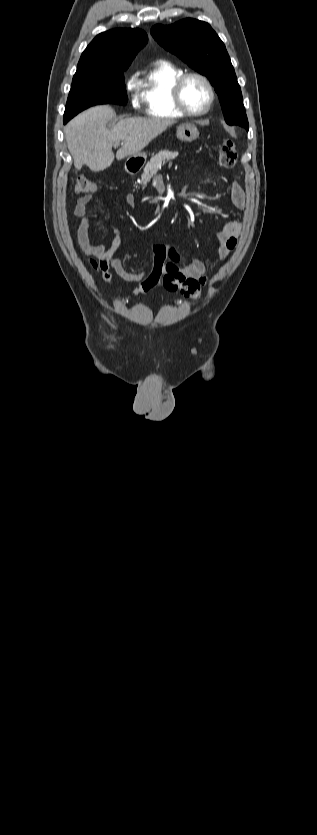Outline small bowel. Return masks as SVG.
<instances>
[{
    "mask_svg": "<svg viewBox=\"0 0 317 835\" xmlns=\"http://www.w3.org/2000/svg\"><path fill=\"white\" fill-rule=\"evenodd\" d=\"M230 198L237 209H244L245 193L238 182L231 183ZM91 199L92 196L90 195L80 197L74 209V214L82 218L77 229V239L82 251L89 258L91 267L99 270L103 281L110 286L113 284L112 272L126 281L137 282V286L130 291L133 295L145 294L158 288L161 285V276L164 272L167 257L179 261L180 256L177 253H168L164 245H156L153 248V266L150 272L128 269L120 259L114 257L122 243L120 230L114 224H108V229L113 234V239L108 248L91 239L90 228L96 217L93 214L86 215ZM125 202L130 207H134L136 203L134 196L131 194L125 196ZM240 231L241 224L239 222L228 221L217 232L218 254L221 260H225L235 248ZM183 272L187 277L198 280L201 286L208 282L205 263L199 258L189 261L184 266Z\"/></svg>",
    "mask_w": 317,
    "mask_h": 835,
    "instance_id": "obj_1",
    "label": "small bowel"
}]
</instances>
